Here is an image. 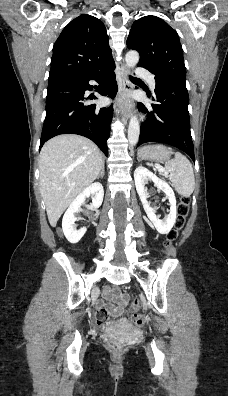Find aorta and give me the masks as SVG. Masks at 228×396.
<instances>
[{
	"mask_svg": "<svg viewBox=\"0 0 228 396\" xmlns=\"http://www.w3.org/2000/svg\"><path fill=\"white\" fill-rule=\"evenodd\" d=\"M126 64L129 68H134L139 61V53L137 51H128L125 56ZM140 134V125L136 115H133L129 122L128 127V140L131 146L137 144Z\"/></svg>",
	"mask_w": 228,
	"mask_h": 396,
	"instance_id": "762f6f07",
	"label": "aorta"
}]
</instances>
